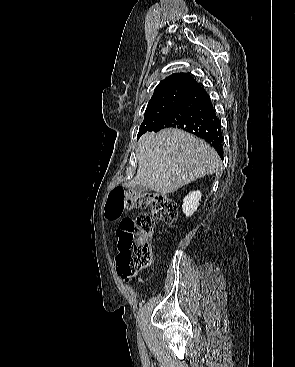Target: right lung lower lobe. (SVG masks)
<instances>
[{"instance_id":"right-lung-lower-lobe-1","label":"right lung lower lobe","mask_w":295,"mask_h":367,"mask_svg":"<svg viewBox=\"0 0 295 367\" xmlns=\"http://www.w3.org/2000/svg\"><path fill=\"white\" fill-rule=\"evenodd\" d=\"M179 128L204 139L223 159V137L210 97L201 87L151 131Z\"/></svg>"}]
</instances>
